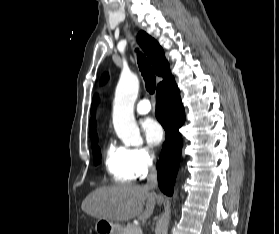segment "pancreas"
Wrapping results in <instances>:
<instances>
[{"mask_svg":"<svg viewBox=\"0 0 279 234\" xmlns=\"http://www.w3.org/2000/svg\"><path fill=\"white\" fill-rule=\"evenodd\" d=\"M138 226L129 224L124 229H122L121 234H141L140 231H136Z\"/></svg>","mask_w":279,"mask_h":234,"instance_id":"pancreas-1","label":"pancreas"}]
</instances>
